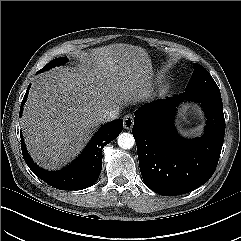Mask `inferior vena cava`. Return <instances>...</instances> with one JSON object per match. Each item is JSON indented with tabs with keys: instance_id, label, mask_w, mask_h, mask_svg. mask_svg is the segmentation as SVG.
<instances>
[{
	"instance_id": "obj_1",
	"label": "inferior vena cava",
	"mask_w": 241,
	"mask_h": 241,
	"mask_svg": "<svg viewBox=\"0 0 241 241\" xmlns=\"http://www.w3.org/2000/svg\"><path fill=\"white\" fill-rule=\"evenodd\" d=\"M119 115V108H115L109 111H105L103 114L100 115L101 122H109L116 119Z\"/></svg>"
}]
</instances>
